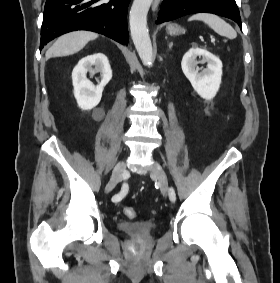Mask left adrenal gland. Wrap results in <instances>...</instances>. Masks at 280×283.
<instances>
[{"mask_svg": "<svg viewBox=\"0 0 280 283\" xmlns=\"http://www.w3.org/2000/svg\"><path fill=\"white\" fill-rule=\"evenodd\" d=\"M172 47H173V42H170L169 49H171Z\"/></svg>", "mask_w": 280, "mask_h": 283, "instance_id": "a2214340", "label": "left adrenal gland"}]
</instances>
